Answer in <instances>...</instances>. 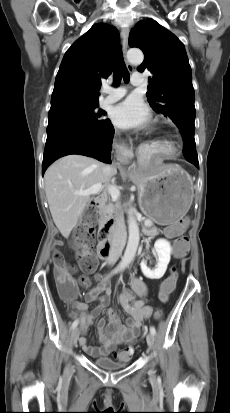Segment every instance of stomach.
I'll return each instance as SVG.
<instances>
[{
  "label": "stomach",
  "instance_id": "0dacf381",
  "mask_svg": "<svg viewBox=\"0 0 230 413\" xmlns=\"http://www.w3.org/2000/svg\"><path fill=\"white\" fill-rule=\"evenodd\" d=\"M141 211L158 225H169L188 212L193 200L189 174L176 165L143 167L135 175Z\"/></svg>",
  "mask_w": 230,
  "mask_h": 413
}]
</instances>
